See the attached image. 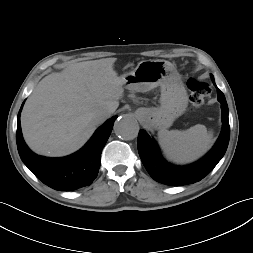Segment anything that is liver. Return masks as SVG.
Masks as SVG:
<instances>
[{"mask_svg":"<svg viewBox=\"0 0 253 253\" xmlns=\"http://www.w3.org/2000/svg\"><path fill=\"white\" fill-rule=\"evenodd\" d=\"M116 60L71 64L38 83L21 114L23 137L34 152L51 157L71 154L99 126L95 113L115 112L124 92L123 80L113 69Z\"/></svg>","mask_w":253,"mask_h":253,"instance_id":"6515ba94","label":"liver"}]
</instances>
